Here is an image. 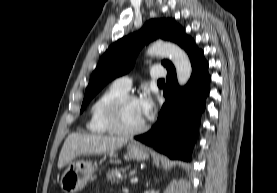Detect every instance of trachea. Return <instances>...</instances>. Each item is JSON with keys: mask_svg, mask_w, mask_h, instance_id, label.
I'll return each instance as SVG.
<instances>
[{"mask_svg": "<svg viewBox=\"0 0 277 193\" xmlns=\"http://www.w3.org/2000/svg\"><path fill=\"white\" fill-rule=\"evenodd\" d=\"M158 83H165V81L161 79V80H158Z\"/></svg>", "mask_w": 277, "mask_h": 193, "instance_id": "obj_1", "label": "trachea"}]
</instances>
